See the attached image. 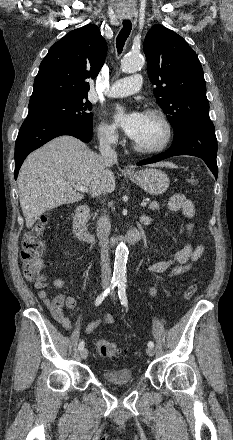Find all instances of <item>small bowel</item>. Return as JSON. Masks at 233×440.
I'll return each instance as SVG.
<instances>
[{"mask_svg": "<svg viewBox=\"0 0 233 440\" xmlns=\"http://www.w3.org/2000/svg\"><path fill=\"white\" fill-rule=\"evenodd\" d=\"M168 208L171 211H181L183 215L190 220L187 225L188 235H191L194 228L192 222L195 216V206L194 203L188 199L184 194L176 193L172 195L168 201ZM204 252V245L202 243L193 244L187 242L179 251H177L172 258L164 261L155 262L149 265L148 271L157 274H169L171 276H177L187 272L192 263L197 261ZM65 285L64 280L55 279L53 281V286L56 289H61ZM47 283L45 281L44 285L39 282L34 283V287L38 290V297L43 301L45 306L49 309L52 317L56 322H58L64 329L71 330L72 323L67 315L64 313L63 308L65 307L69 311H73L76 307V300L73 297H66L64 294L59 293L53 298L48 296L45 290ZM150 295L156 293L155 288H150ZM114 322V318L110 314H105L99 319L89 323L85 331L91 333L95 331L98 327L103 325H109Z\"/></svg>", "mask_w": 233, "mask_h": 440, "instance_id": "c3829d8e", "label": "small bowel"}]
</instances>
